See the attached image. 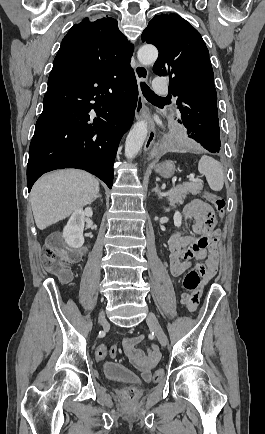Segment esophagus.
Masks as SVG:
<instances>
[{
  "instance_id": "1",
  "label": "esophagus",
  "mask_w": 265,
  "mask_h": 434,
  "mask_svg": "<svg viewBox=\"0 0 265 434\" xmlns=\"http://www.w3.org/2000/svg\"><path fill=\"white\" fill-rule=\"evenodd\" d=\"M134 72H135V76H136L138 84H140V82H146L148 80L149 72H148L147 68L144 67V65H140L139 63H137V65L134 69ZM135 118L137 120H145L147 123L148 137H147L145 145H144V150H145V152H147L150 149L152 143L154 142V139L156 136V129H155V123H154V120L150 114V111L144 103V97L141 93L140 87H139V95H138V99H137V107L135 109Z\"/></svg>"
}]
</instances>
